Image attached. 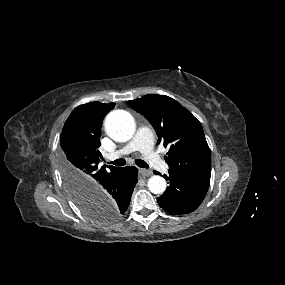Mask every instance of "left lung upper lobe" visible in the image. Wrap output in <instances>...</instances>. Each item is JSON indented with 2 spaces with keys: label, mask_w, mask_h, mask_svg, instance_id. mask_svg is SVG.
<instances>
[{
  "label": "left lung upper lobe",
  "mask_w": 285,
  "mask_h": 285,
  "mask_svg": "<svg viewBox=\"0 0 285 285\" xmlns=\"http://www.w3.org/2000/svg\"><path fill=\"white\" fill-rule=\"evenodd\" d=\"M151 123L161 142L169 147V171L182 177L210 182L211 155L201 123L176 100L145 95L128 102Z\"/></svg>",
  "instance_id": "left-lung-upper-lobe-1"
}]
</instances>
